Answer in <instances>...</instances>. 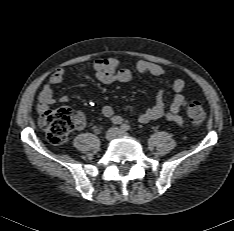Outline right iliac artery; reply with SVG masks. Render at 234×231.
Masks as SVG:
<instances>
[{
	"label": "right iliac artery",
	"instance_id": "obj_1",
	"mask_svg": "<svg viewBox=\"0 0 234 231\" xmlns=\"http://www.w3.org/2000/svg\"><path fill=\"white\" fill-rule=\"evenodd\" d=\"M111 122H112L113 124L119 125V124H122L123 118L120 117V116H115V117H113V118L111 119Z\"/></svg>",
	"mask_w": 234,
	"mask_h": 231
}]
</instances>
